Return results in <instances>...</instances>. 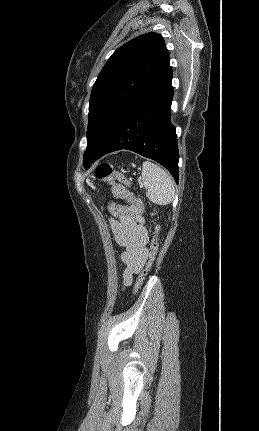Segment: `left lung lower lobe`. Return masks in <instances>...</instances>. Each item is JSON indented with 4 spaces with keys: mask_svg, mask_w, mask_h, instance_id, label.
<instances>
[{
    "mask_svg": "<svg viewBox=\"0 0 259 431\" xmlns=\"http://www.w3.org/2000/svg\"><path fill=\"white\" fill-rule=\"evenodd\" d=\"M172 75L171 69L151 92L121 118L91 163L113 151L127 149L157 161L178 183L177 137L170 121Z\"/></svg>",
    "mask_w": 259,
    "mask_h": 431,
    "instance_id": "1",
    "label": "left lung lower lobe"
}]
</instances>
